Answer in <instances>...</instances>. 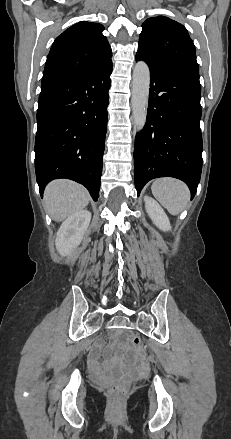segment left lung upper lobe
<instances>
[{
  "label": "left lung upper lobe",
  "instance_id": "5c2ea615",
  "mask_svg": "<svg viewBox=\"0 0 231 439\" xmlns=\"http://www.w3.org/2000/svg\"><path fill=\"white\" fill-rule=\"evenodd\" d=\"M136 56L148 65L199 74L195 46L186 28L168 17L143 23Z\"/></svg>",
  "mask_w": 231,
  "mask_h": 439
}]
</instances>
